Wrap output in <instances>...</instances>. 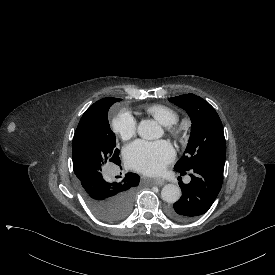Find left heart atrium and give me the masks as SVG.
Returning a JSON list of instances; mask_svg holds the SVG:
<instances>
[{"mask_svg": "<svg viewBox=\"0 0 275 275\" xmlns=\"http://www.w3.org/2000/svg\"><path fill=\"white\" fill-rule=\"evenodd\" d=\"M174 151L166 141H137L125 149V159L133 169L157 174L173 159Z\"/></svg>", "mask_w": 275, "mask_h": 275, "instance_id": "obj_1", "label": "left heart atrium"}]
</instances>
